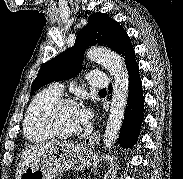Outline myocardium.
<instances>
[{
	"label": "myocardium",
	"instance_id": "1",
	"mask_svg": "<svg viewBox=\"0 0 183 179\" xmlns=\"http://www.w3.org/2000/svg\"><path fill=\"white\" fill-rule=\"evenodd\" d=\"M66 105H75L78 106V103L76 100L68 97H60L56 101L52 103V105L49 107L46 116H45V125L50 132V134L53 137L56 138H71L80 133V130L75 132H62L57 128L56 125V119L59 111L62 107Z\"/></svg>",
	"mask_w": 183,
	"mask_h": 179
}]
</instances>
